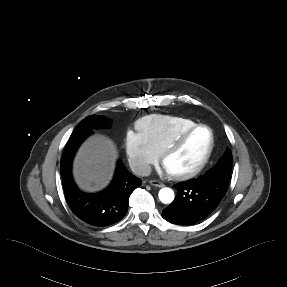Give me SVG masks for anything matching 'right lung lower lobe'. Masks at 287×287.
Wrapping results in <instances>:
<instances>
[{"instance_id":"1","label":"right lung lower lobe","mask_w":287,"mask_h":287,"mask_svg":"<svg viewBox=\"0 0 287 287\" xmlns=\"http://www.w3.org/2000/svg\"><path fill=\"white\" fill-rule=\"evenodd\" d=\"M92 133L93 129H81L71 134L61 158L60 172L71 211L89 225L104 227L120 221L126 215L129 197L142 182L118 162L113 181L107 189L96 194L82 192L72 178V160L80 144Z\"/></svg>"}]
</instances>
